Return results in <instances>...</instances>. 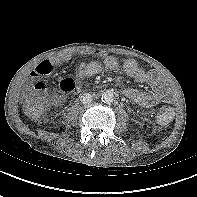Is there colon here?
Instances as JSON below:
<instances>
[{
    "label": "colon",
    "instance_id": "5ec220e1",
    "mask_svg": "<svg viewBox=\"0 0 197 197\" xmlns=\"http://www.w3.org/2000/svg\"><path fill=\"white\" fill-rule=\"evenodd\" d=\"M75 83L72 79H64L59 84L58 96L68 94L73 91ZM47 96V87L44 82L38 81L34 87L24 96L22 105L28 116L39 117L43 111ZM174 115V111L169 106L160 108L157 119L161 124H168Z\"/></svg>",
    "mask_w": 197,
    "mask_h": 197
}]
</instances>
